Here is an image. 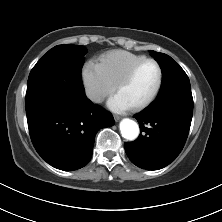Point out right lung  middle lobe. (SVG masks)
<instances>
[{"mask_svg": "<svg viewBox=\"0 0 222 222\" xmlns=\"http://www.w3.org/2000/svg\"><path fill=\"white\" fill-rule=\"evenodd\" d=\"M86 52L81 45H59L50 49L30 72L26 108L41 103H80L85 96L81 69Z\"/></svg>", "mask_w": 222, "mask_h": 222, "instance_id": "obj_1", "label": "right lung middle lobe"}]
</instances>
